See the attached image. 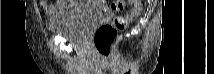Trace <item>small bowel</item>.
I'll list each match as a JSON object with an SVG mask.
<instances>
[{
    "label": "small bowel",
    "mask_w": 214,
    "mask_h": 74,
    "mask_svg": "<svg viewBox=\"0 0 214 74\" xmlns=\"http://www.w3.org/2000/svg\"><path fill=\"white\" fill-rule=\"evenodd\" d=\"M71 5V1H56L54 4H50L47 1H41V6L44 12L48 15H53L56 11L67 8Z\"/></svg>",
    "instance_id": "c3829d8e"
}]
</instances>
